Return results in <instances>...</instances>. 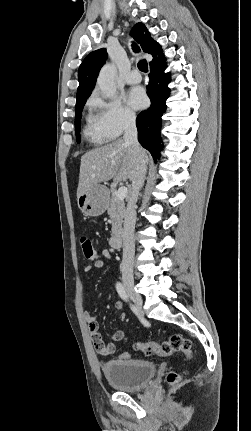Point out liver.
<instances>
[{
  "label": "liver",
  "mask_w": 251,
  "mask_h": 431,
  "mask_svg": "<svg viewBox=\"0 0 251 431\" xmlns=\"http://www.w3.org/2000/svg\"><path fill=\"white\" fill-rule=\"evenodd\" d=\"M139 156L147 163L148 155L142 149ZM136 171L135 152L124 139H118L95 148L81 157L77 197L91 187L113 179L116 182L132 180Z\"/></svg>",
  "instance_id": "1"
}]
</instances>
